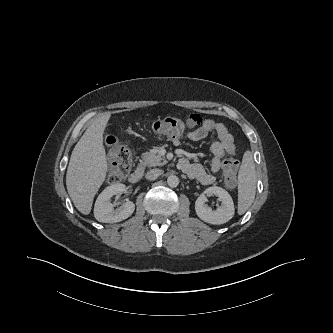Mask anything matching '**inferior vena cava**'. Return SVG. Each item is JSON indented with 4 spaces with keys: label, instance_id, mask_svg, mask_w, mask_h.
<instances>
[{
    "label": "inferior vena cava",
    "instance_id": "1",
    "mask_svg": "<svg viewBox=\"0 0 333 333\" xmlns=\"http://www.w3.org/2000/svg\"><path fill=\"white\" fill-rule=\"evenodd\" d=\"M162 173H163V171L160 170V169H151V170H149V171L146 173L145 177H146V179H148V180H155V179H157Z\"/></svg>",
    "mask_w": 333,
    "mask_h": 333
}]
</instances>
